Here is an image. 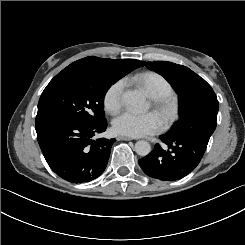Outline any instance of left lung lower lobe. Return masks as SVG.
Listing matches in <instances>:
<instances>
[{"label":"left lung lower lobe","mask_w":245,"mask_h":245,"mask_svg":"<svg viewBox=\"0 0 245 245\" xmlns=\"http://www.w3.org/2000/svg\"><path fill=\"white\" fill-rule=\"evenodd\" d=\"M218 102L188 115L182 124L160 136L162 148L154 149L138 161L144 173L161 181H176L191 173L200 163L217 124Z\"/></svg>","instance_id":"obj_1"}]
</instances>
